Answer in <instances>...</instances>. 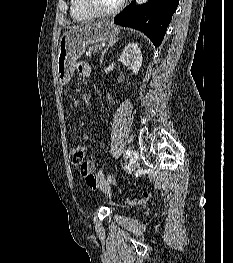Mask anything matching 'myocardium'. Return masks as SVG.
<instances>
[{"mask_svg":"<svg viewBox=\"0 0 233 263\" xmlns=\"http://www.w3.org/2000/svg\"><path fill=\"white\" fill-rule=\"evenodd\" d=\"M85 9L93 16V17H111L118 14L125 6L127 0H121L120 3L113 9L108 11L99 10L93 4L92 0H82Z\"/></svg>","mask_w":233,"mask_h":263,"instance_id":"f54148a6","label":"myocardium"}]
</instances>
